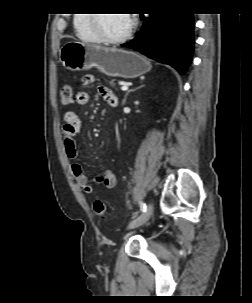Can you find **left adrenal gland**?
<instances>
[{"label":"left adrenal gland","mask_w":252,"mask_h":303,"mask_svg":"<svg viewBox=\"0 0 252 303\" xmlns=\"http://www.w3.org/2000/svg\"><path fill=\"white\" fill-rule=\"evenodd\" d=\"M133 91H135V90H133ZM129 93H130V91H128V92L125 94L124 100H123V104L126 102V98H127V96H128Z\"/></svg>","instance_id":"left-adrenal-gland-1"}]
</instances>
